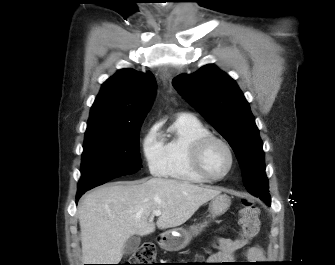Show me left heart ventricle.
<instances>
[{
    "instance_id": "obj_1",
    "label": "left heart ventricle",
    "mask_w": 335,
    "mask_h": 265,
    "mask_svg": "<svg viewBox=\"0 0 335 265\" xmlns=\"http://www.w3.org/2000/svg\"><path fill=\"white\" fill-rule=\"evenodd\" d=\"M230 163L227 149L218 142L210 143L203 154V165L206 171L213 176L224 174Z\"/></svg>"
}]
</instances>
